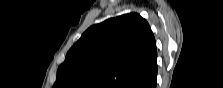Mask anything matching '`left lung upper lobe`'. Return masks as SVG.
<instances>
[{
    "label": "left lung upper lobe",
    "instance_id": "left-lung-upper-lobe-1",
    "mask_svg": "<svg viewBox=\"0 0 223 88\" xmlns=\"http://www.w3.org/2000/svg\"><path fill=\"white\" fill-rule=\"evenodd\" d=\"M155 38L137 13L88 28L57 70L60 88H130L156 64Z\"/></svg>",
    "mask_w": 223,
    "mask_h": 88
}]
</instances>
